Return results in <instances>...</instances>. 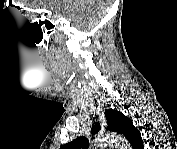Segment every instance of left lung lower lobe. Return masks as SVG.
<instances>
[{
	"instance_id": "left-lung-lower-lobe-1",
	"label": "left lung lower lobe",
	"mask_w": 177,
	"mask_h": 149,
	"mask_svg": "<svg viewBox=\"0 0 177 149\" xmlns=\"http://www.w3.org/2000/svg\"><path fill=\"white\" fill-rule=\"evenodd\" d=\"M139 148H143V143H141L140 147Z\"/></svg>"
}]
</instances>
